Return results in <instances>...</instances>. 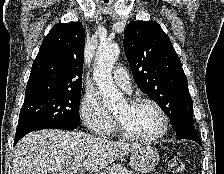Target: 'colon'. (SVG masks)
<instances>
[{
	"instance_id": "1",
	"label": "colon",
	"mask_w": 224,
	"mask_h": 174,
	"mask_svg": "<svg viewBox=\"0 0 224 174\" xmlns=\"http://www.w3.org/2000/svg\"><path fill=\"white\" fill-rule=\"evenodd\" d=\"M168 167H169V170L173 174H180L181 172L184 171L185 165L179 157L169 156L168 157Z\"/></svg>"
}]
</instances>
